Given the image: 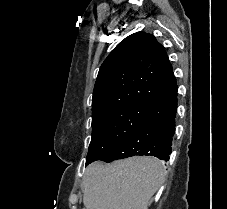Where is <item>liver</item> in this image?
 I'll return each mask as SVG.
<instances>
[{"instance_id":"1","label":"liver","mask_w":227,"mask_h":209,"mask_svg":"<svg viewBox=\"0 0 227 209\" xmlns=\"http://www.w3.org/2000/svg\"><path fill=\"white\" fill-rule=\"evenodd\" d=\"M164 171L155 157H129L111 165L95 161L83 177V205L86 209H148Z\"/></svg>"}]
</instances>
